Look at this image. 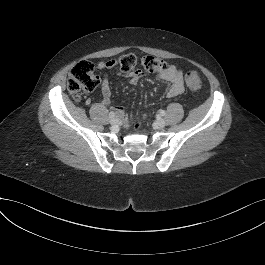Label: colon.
Masks as SVG:
<instances>
[{
    "instance_id": "obj_1",
    "label": "colon",
    "mask_w": 265,
    "mask_h": 265,
    "mask_svg": "<svg viewBox=\"0 0 265 265\" xmlns=\"http://www.w3.org/2000/svg\"><path fill=\"white\" fill-rule=\"evenodd\" d=\"M120 71L130 74L136 70L138 59L134 54H124L115 59ZM142 68L150 73H162L166 71L168 65L160 58L154 56H144L140 60ZM185 83L189 90L198 92L202 87V79L196 70H189L185 73ZM99 83V78L95 74L94 65L89 61H80L71 70L67 82V87L75 101L80 99L81 93L93 91ZM141 127V123L135 125L136 129Z\"/></svg>"
}]
</instances>
